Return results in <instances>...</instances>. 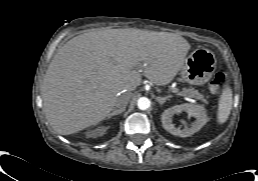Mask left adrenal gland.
Listing matches in <instances>:
<instances>
[{
	"instance_id": "1",
	"label": "left adrenal gland",
	"mask_w": 258,
	"mask_h": 181,
	"mask_svg": "<svg viewBox=\"0 0 258 181\" xmlns=\"http://www.w3.org/2000/svg\"><path fill=\"white\" fill-rule=\"evenodd\" d=\"M171 96L166 97H156V100L159 102L160 105H163Z\"/></svg>"
}]
</instances>
